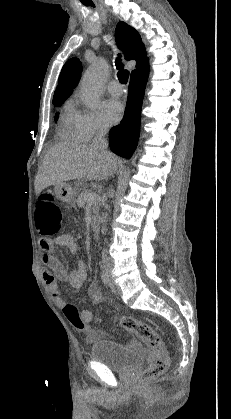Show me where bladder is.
Returning <instances> with one entry per match:
<instances>
[{"mask_svg":"<svg viewBox=\"0 0 231 419\" xmlns=\"http://www.w3.org/2000/svg\"><path fill=\"white\" fill-rule=\"evenodd\" d=\"M90 357L119 373H128L145 362L143 354L108 339L96 340L91 345Z\"/></svg>","mask_w":231,"mask_h":419,"instance_id":"obj_1","label":"bladder"}]
</instances>
